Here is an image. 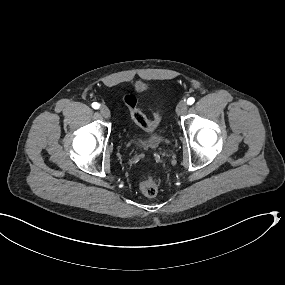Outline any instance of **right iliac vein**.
Listing matches in <instances>:
<instances>
[{
  "label": "right iliac vein",
  "instance_id": "1",
  "mask_svg": "<svg viewBox=\"0 0 285 285\" xmlns=\"http://www.w3.org/2000/svg\"><path fill=\"white\" fill-rule=\"evenodd\" d=\"M99 111L105 119L110 118V110L106 106H101Z\"/></svg>",
  "mask_w": 285,
  "mask_h": 285
}]
</instances>
